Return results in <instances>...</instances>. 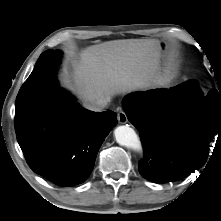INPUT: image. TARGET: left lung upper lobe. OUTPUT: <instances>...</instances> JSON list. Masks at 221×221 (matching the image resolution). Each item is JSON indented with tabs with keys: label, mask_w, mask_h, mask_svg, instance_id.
Segmentation results:
<instances>
[{
	"label": "left lung upper lobe",
	"mask_w": 221,
	"mask_h": 221,
	"mask_svg": "<svg viewBox=\"0 0 221 221\" xmlns=\"http://www.w3.org/2000/svg\"><path fill=\"white\" fill-rule=\"evenodd\" d=\"M214 92H217V93H218V94H216L217 97H219V95H220V97H221V91H220V90L217 91V90H215V89L209 91L208 95L213 94ZM208 95H207V96H208Z\"/></svg>",
	"instance_id": "obj_1"
}]
</instances>
